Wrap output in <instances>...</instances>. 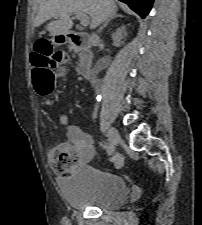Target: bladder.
<instances>
[{"instance_id": "bladder-1", "label": "bladder", "mask_w": 202, "mask_h": 225, "mask_svg": "<svg viewBox=\"0 0 202 225\" xmlns=\"http://www.w3.org/2000/svg\"><path fill=\"white\" fill-rule=\"evenodd\" d=\"M63 197L72 208L95 207L114 211L128 200L126 181L104 168L81 166L61 181Z\"/></svg>"}]
</instances>
